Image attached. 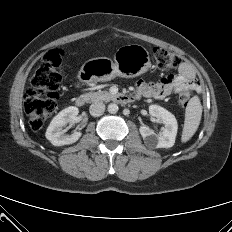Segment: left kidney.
Segmentation results:
<instances>
[{"label":"left kidney","mask_w":232,"mask_h":232,"mask_svg":"<svg viewBox=\"0 0 232 232\" xmlns=\"http://www.w3.org/2000/svg\"><path fill=\"white\" fill-rule=\"evenodd\" d=\"M149 113L160 119L164 127L159 134H156L152 129L147 126L139 128L140 134L143 137L145 145L148 148H170L175 143L177 135L178 124L175 116L168 110L158 105H150Z\"/></svg>","instance_id":"left-kidney-1"}]
</instances>
